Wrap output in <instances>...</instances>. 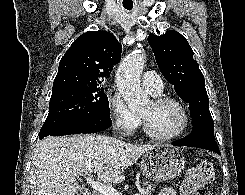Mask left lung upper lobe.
<instances>
[{
	"mask_svg": "<svg viewBox=\"0 0 245 195\" xmlns=\"http://www.w3.org/2000/svg\"><path fill=\"white\" fill-rule=\"evenodd\" d=\"M148 42L163 76L174 85L176 93L189 104L193 130L214 137V123L209 111L205 79L193 59L188 41L174 30L164 35L150 34Z\"/></svg>",
	"mask_w": 245,
	"mask_h": 195,
	"instance_id": "1",
	"label": "left lung upper lobe"
}]
</instances>
